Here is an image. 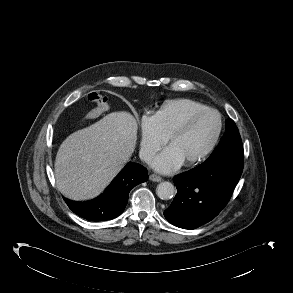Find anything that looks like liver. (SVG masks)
<instances>
[{
    "label": "liver",
    "mask_w": 293,
    "mask_h": 293,
    "mask_svg": "<svg viewBox=\"0 0 293 293\" xmlns=\"http://www.w3.org/2000/svg\"><path fill=\"white\" fill-rule=\"evenodd\" d=\"M137 140V122L128 112H113L69 135L55 160L59 191L75 201L99 195L127 163Z\"/></svg>",
    "instance_id": "6515ba94"
}]
</instances>
